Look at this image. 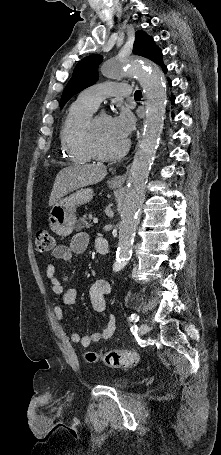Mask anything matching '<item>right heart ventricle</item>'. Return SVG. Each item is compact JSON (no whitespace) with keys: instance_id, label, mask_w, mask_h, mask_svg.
Returning <instances> with one entry per match:
<instances>
[{"instance_id":"obj_1","label":"right heart ventricle","mask_w":221,"mask_h":455,"mask_svg":"<svg viewBox=\"0 0 221 455\" xmlns=\"http://www.w3.org/2000/svg\"><path fill=\"white\" fill-rule=\"evenodd\" d=\"M94 110L78 96L64 117L60 145L62 153L72 163L83 164L91 159L85 143V132Z\"/></svg>"}]
</instances>
